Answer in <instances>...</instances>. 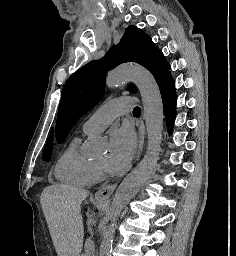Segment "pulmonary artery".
Here are the masks:
<instances>
[{"instance_id": "obj_1", "label": "pulmonary artery", "mask_w": 236, "mask_h": 256, "mask_svg": "<svg viewBox=\"0 0 236 256\" xmlns=\"http://www.w3.org/2000/svg\"><path fill=\"white\" fill-rule=\"evenodd\" d=\"M118 101H106V107H100L82 125L84 134L100 133L107 128L112 121L120 115H128L131 108V96H118ZM111 109V110H110Z\"/></svg>"}]
</instances>
